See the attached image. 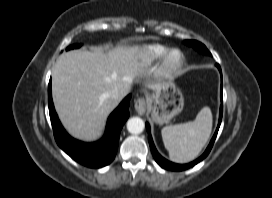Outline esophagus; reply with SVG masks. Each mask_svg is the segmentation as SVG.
I'll use <instances>...</instances> for the list:
<instances>
[{
  "mask_svg": "<svg viewBox=\"0 0 272 198\" xmlns=\"http://www.w3.org/2000/svg\"><path fill=\"white\" fill-rule=\"evenodd\" d=\"M134 108L139 115H143L146 111L147 104L144 98H138L134 103Z\"/></svg>",
  "mask_w": 272,
  "mask_h": 198,
  "instance_id": "obj_1",
  "label": "esophagus"
}]
</instances>
